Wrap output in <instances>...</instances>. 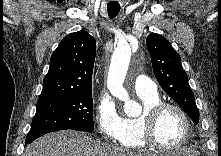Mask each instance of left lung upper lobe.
Returning a JSON list of instances; mask_svg holds the SVG:
<instances>
[{
  "label": "left lung upper lobe",
  "mask_w": 221,
  "mask_h": 156,
  "mask_svg": "<svg viewBox=\"0 0 221 156\" xmlns=\"http://www.w3.org/2000/svg\"><path fill=\"white\" fill-rule=\"evenodd\" d=\"M155 77L162 89L198 124L199 112L181 58L163 36L151 33L146 39Z\"/></svg>",
  "instance_id": "left-lung-upper-lobe-1"
}]
</instances>
